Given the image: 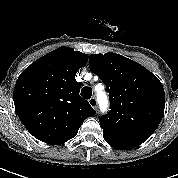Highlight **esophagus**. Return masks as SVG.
I'll return each mask as SVG.
<instances>
[{
  "label": "esophagus",
  "mask_w": 178,
  "mask_h": 178,
  "mask_svg": "<svg viewBox=\"0 0 178 178\" xmlns=\"http://www.w3.org/2000/svg\"><path fill=\"white\" fill-rule=\"evenodd\" d=\"M88 101H89V104H90V106H91L92 108H94V109L97 108V100H96L95 97L90 98Z\"/></svg>",
  "instance_id": "obj_1"
}]
</instances>
